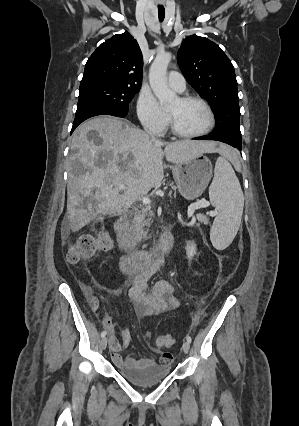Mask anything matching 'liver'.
<instances>
[{"mask_svg": "<svg viewBox=\"0 0 299 426\" xmlns=\"http://www.w3.org/2000/svg\"><path fill=\"white\" fill-rule=\"evenodd\" d=\"M92 130L98 133V143L87 137ZM203 153L227 156L230 149L212 141H153L140 129L109 116L84 122L74 132L71 143L67 184L69 227L78 231L98 215L130 208L161 184L164 157L178 164ZM75 164L84 172L75 175ZM119 184L126 186L123 193Z\"/></svg>", "mask_w": 299, "mask_h": 426, "instance_id": "liver-1", "label": "liver"}]
</instances>
